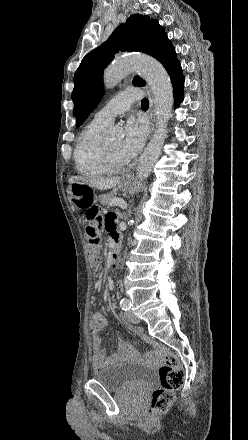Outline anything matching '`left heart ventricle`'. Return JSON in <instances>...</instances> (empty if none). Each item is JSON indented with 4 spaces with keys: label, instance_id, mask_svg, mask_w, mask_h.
Here are the masks:
<instances>
[{
    "label": "left heart ventricle",
    "instance_id": "left-heart-ventricle-1",
    "mask_svg": "<svg viewBox=\"0 0 248 440\" xmlns=\"http://www.w3.org/2000/svg\"><path fill=\"white\" fill-rule=\"evenodd\" d=\"M108 148L110 149V151L112 152L114 158L120 162V163H125L126 161L121 157L120 153H119V148H120V144H121V140L120 139H112L106 142Z\"/></svg>",
    "mask_w": 248,
    "mask_h": 440
}]
</instances>
